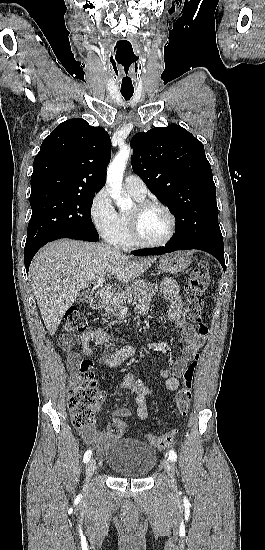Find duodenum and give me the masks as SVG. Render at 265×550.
I'll list each match as a JSON object with an SVG mask.
<instances>
[{"instance_id": "410a0bca", "label": "duodenum", "mask_w": 265, "mask_h": 550, "mask_svg": "<svg viewBox=\"0 0 265 550\" xmlns=\"http://www.w3.org/2000/svg\"><path fill=\"white\" fill-rule=\"evenodd\" d=\"M106 300H107V297L103 292L97 293L91 301L92 309L93 310L101 309L104 306Z\"/></svg>"}]
</instances>
